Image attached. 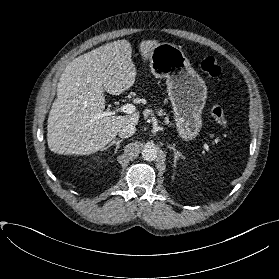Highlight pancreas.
<instances>
[{
  "mask_svg": "<svg viewBox=\"0 0 279 279\" xmlns=\"http://www.w3.org/2000/svg\"><path fill=\"white\" fill-rule=\"evenodd\" d=\"M156 113H157L159 116H164V115H166V117H165V122H166L167 124L169 123L168 115H167L166 112H164L161 108L157 109V110H156Z\"/></svg>",
  "mask_w": 279,
  "mask_h": 279,
  "instance_id": "obj_1",
  "label": "pancreas"
}]
</instances>
